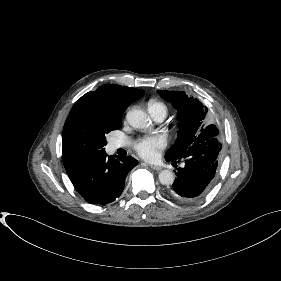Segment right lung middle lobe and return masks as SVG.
<instances>
[{"label": "right lung middle lobe", "mask_w": 281, "mask_h": 281, "mask_svg": "<svg viewBox=\"0 0 281 281\" xmlns=\"http://www.w3.org/2000/svg\"><path fill=\"white\" fill-rule=\"evenodd\" d=\"M122 116L114 115L92 100L79 99L66 119L62 136L65 168H74L104 152L105 135L121 127Z\"/></svg>", "instance_id": "obj_1"}]
</instances>
